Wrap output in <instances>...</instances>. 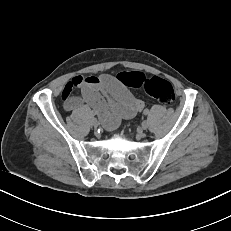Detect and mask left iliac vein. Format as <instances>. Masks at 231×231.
Here are the masks:
<instances>
[{
	"mask_svg": "<svg viewBox=\"0 0 231 231\" xmlns=\"http://www.w3.org/2000/svg\"><path fill=\"white\" fill-rule=\"evenodd\" d=\"M141 127H142L143 130L148 129V127H149V122H148L147 120H144V121L142 122V124H141Z\"/></svg>",
	"mask_w": 231,
	"mask_h": 231,
	"instance_id": "left-iliac-vein-1",
	"label": "left iliac vein"
}]
</instances>
